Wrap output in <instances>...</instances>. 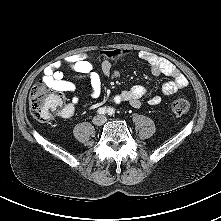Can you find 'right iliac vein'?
Returning a JSON list of instances; mask_svg holds the SVG:
<instances>
[{
	"mask_svg": "<svg viewBox=\"0 0 221 221\" xmlns=\"http://www.w3.org/2000/svg\"><path fill=\"white\" fill-rule=\"evenodd\" d=\"M102 123V119L100 117H97L94 119V124L100 125Z\"/></svg>",
	"mask_w": 221,
	"mask_h": 221,
	"instance_id": "right-iliac-vein-1",
	"label": "right iliac vein"
}]
</instances>
